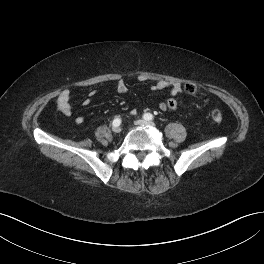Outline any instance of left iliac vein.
<instances>
[{
    "label": "left iliac vein",
    "instance_id": "1",
    "mask_svg": "<svg viewBox=\"0 0 264 264\" xmlns=\"http://www.w3.org/2000/svg\"><path fill=\"white\" fill-rule=\"evenodd\" d=\"M135 124L138 126H150V127L155 126V124L153 122L146 121V120H137V121H135Z\"/></svg>",
    "mask_w": 264,
    "mask_h": 264
}]
</instances>
